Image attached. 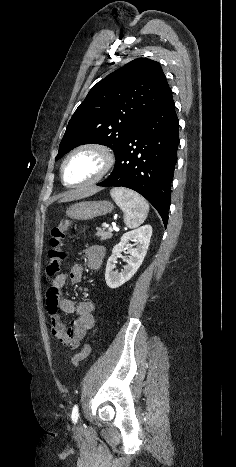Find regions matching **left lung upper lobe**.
Returning <instances> with one entry per match:
<instances>
[{"instance_id":"obj_1","label":"left lung upper lobe","mask_w":236,"mask_h":467,"mask_svg":"<svg viewBox=\"0 0 236 467\" xmlns=\"http://www.w3.org/2000/svg\"><path fill=\"white\" fill-rule=\"evenodd\" d=\"M160 64L135 59L98 82L68 123L59 152L89 143L109 146L117 156L130 131L168 93Z\"/></svg>"}]
</instances>
